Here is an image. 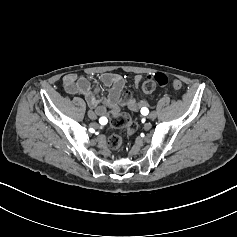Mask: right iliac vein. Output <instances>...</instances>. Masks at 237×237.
I'll return each instance as SVG.
<instances>
[{
    "instance_id": "1",
    "label": "right iliac vein",
    "mask_w": 237,
    "mask_h": 237,
    "mask_svg": "<svg viewBox=\"0 0 237 237\" xmlns=\"http://www.w3.org/2000/svg\"><path fill=\"white\" fill-rule=\"evenodd\" d=\"M88 117L92 120H95L97 118V114L94 111L90 110L88 111Z\"/></svg>"
}]
</instances>
